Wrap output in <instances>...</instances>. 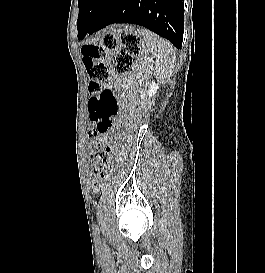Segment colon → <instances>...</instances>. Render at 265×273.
<instances>
[{
  "label": "colon",
  "instance_id": "1",
  "mask_svg": "<svg viewBox=\"0 0 265 273\" xmlns=\"http://www.w3.org/2000/svg\"><path fill=\"white\" fill-rule=\"evenodd\" d=\"M82 53L84 66L90 78L89 91L92 94L88 113L92 126L90 135L94 141L90 146L96 148L93 153L94 171L101 180H105L114 169L110 156L113 147L110 127L112 119L117 115L118 105L114 94L102 88V83L108 77V68L104 59L109 54H114L115 72L131 71L140 53V40L137 35L131 33L119 35L107 33L103 36L100 45H86L82 48Z\"/></svg>",
  "mask_w": 265,
  "mask_h": 273
}]
</instances>
